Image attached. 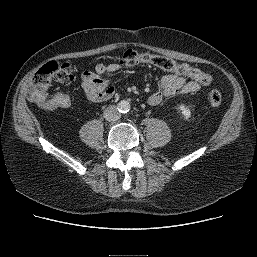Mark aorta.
<instances>
[{
	"instance_id": "obj_1",
	"label": "aorta",
	"mask_w": 257,
	"mask_h": 257,
	"mask_svg": "<svg viewBox=\"0 0 257 257\" xmlns=\"http://www.w3.org/2000/svg\"><path fill=\"white\" fill-rule=\"evenodd\" d=\"M117 106L118 111L121 113H127L130 110V103L126 100H121Z\"/></svg>"
}]
</instances>
